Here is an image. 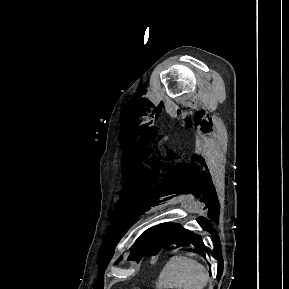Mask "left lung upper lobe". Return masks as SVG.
Wrapping results in <instances>:
<instances>
[{
  "label": "left lung upper lobe",
  "instance_id": "obj_1",
  "mask_svg": "<svg viewBox=\"0 0 289 289\" xmlns=\"http://www.w3.org/2000/svg\"><path fill=\"white\" fill-rule=\"evenodd\" d=\"M165 228L164 224L151 228L145 231L132 246L130 259L140 261L141 258L147 254H156L165 246Z\"/></svg>",
  "mask_w": 289,
  "mask_h": 289
}]
</instances>
